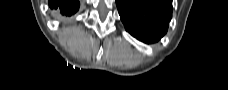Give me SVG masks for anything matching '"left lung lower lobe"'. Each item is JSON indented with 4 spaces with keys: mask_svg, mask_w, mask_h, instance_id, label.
<instances>
[{
    "mask_svg": "<svg viewBox=\"0 0 228 90\" xmlns=\"http://www.w3.org/2000/svg\"><path fill=\"white\" fill-rule=\"evenodd\" d=\"M116 4L126 30L137 39L152 43L166 33L171 0H116Z\"/></svg>",
    "mask_w": 228,
    "mask_h": 90,
    "instance_id": "obj_1",
    "label": "left lung lower lobe"
}]
</instances>
